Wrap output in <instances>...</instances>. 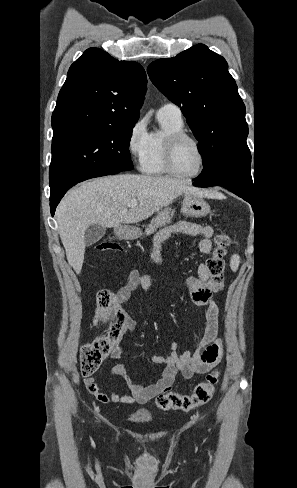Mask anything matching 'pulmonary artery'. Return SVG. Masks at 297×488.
Here are the masks:
<instances>
[{
	"mask_svg": "<svg viewBox=\"0 0 297 488\" xmlns=\"http://www.w3.org/2000/svg\"><path fill=\"white\" fill-rule=\"evenodd\" d=\"M159 118H167L178 122H183L182 112L179 106L174 103H165L158 110Z\"/></svg>",
	"mask_w": 297,
	"mask_h": 488,
	"instance_id": "obj_1",
	"label": "pulmonary artery"
}]
</instances>
